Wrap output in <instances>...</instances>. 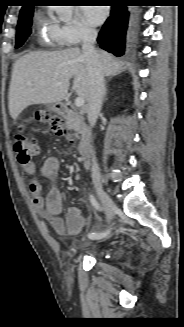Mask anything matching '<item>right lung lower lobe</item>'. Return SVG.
<instances>
[{
    "instance_id": "98d812e1",
    "label": "right lung lower lobe",
    "mask_w": 184,
    "mask_h": 327,
    "mask_svg": "<svg viewBox=\"0 0 184 327\" xmlns=\"http://www.w3.org/2000/svg\"><path fill=\"white\" fill-rule=\"evenodd\" d=\"M110 16L103 25L97 42L108 52L121 56L124 54L126 29L128 27L127 6L111 7Z\"/></svg>"
}]
</instances>
